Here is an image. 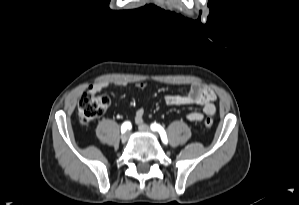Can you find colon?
<instances>
[{"label": "colon", "instance_id": "1", "mask_svg": "<svg viewBox=\"0 0 299 205\" xmlns=\"http://www.w3.org/2000/svg\"><path fill=\"white\" fill-rule=\"evenodd\" d=\"M109 106V99L99 94L92 88L85 91L78 103V118L81 124H88L92 120L102 116ZM207 128H211L213 120L207 117L204 121Z\"/></svg>", "mask_w": 299, "mask_h": 205}]
</instances>
